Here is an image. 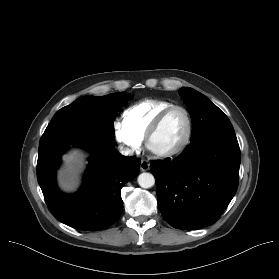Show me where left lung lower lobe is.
<instances>
[{
  "instance_id": "1",
  "label": "left lung lower lobe",
  "mask_w": 279,
  "mask_h": 279,
  "mask_svg": "<svg viewBox=\"0 0 279 279\" xmlns=\"http://www.w3.org/2000/svg\"><path fill=\"white\" fill-rule=\"evenodd\" d=\"M240 160L235 132H215L191 141L172 161L152 162L164 219L184 230L214 224L236 193Z\"/></svg>"
}]
</instances>
